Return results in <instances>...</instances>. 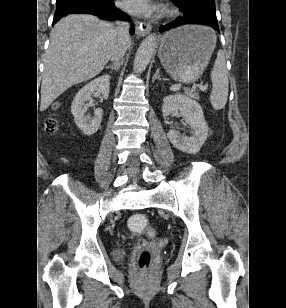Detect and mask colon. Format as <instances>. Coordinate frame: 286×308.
Here are the masks:
<instances>
[{
	"instance_id": "5ec220e1",
	"label": "colon",
	"mask_w": 286,
	"mask_h": 308,
	"mask_svg": "<svg viewBox=\"0 0 286 308\" xmlns=\"http://www.w3.org/2000/svg\"><path fill=\"white\" fill-rule=\"evenodd\" d=\"M45 130L48 133L56 132L58 123L53 118H48L45 121ZM129 227L139 233L149 232V222L146 216L142 214L132 215L128 221ZM151 264V255L148 251H142L138 256V267L142 271L148 270Z\"/></svg>"
}]
</instances>
